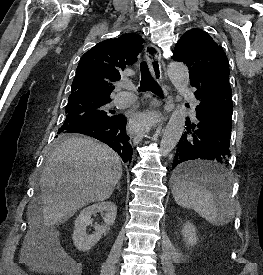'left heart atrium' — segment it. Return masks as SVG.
Listing matches in <instances>:
<instances>
[{
	"instance_id": "39dd6f15",
	"label": "left heart atrium",
	"mask_w": 263,
	"mask_h": 275,
	"mask_svg": "<svg viewBox=\"0 0 263 275\" xmlns=\"http://www.w3.org/2000/svg\"><path fill=\"white\" fill-rule=\"evenodd\" d=\"M151 122V117L145 114H140L135 116L132 121H131V125L132 128L135 131H141L143 129H145Z\"/></svg>"
}]
</instances>
